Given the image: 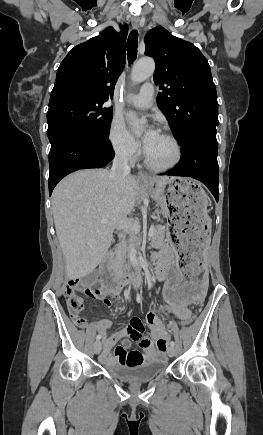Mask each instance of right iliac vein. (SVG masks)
I'll use <instances>...</instances> for the list:
<instances>
[{"label":"right iliac vein","mask_w":263,"mask_h":435,"mask_svg":"<svg viewBox=\"0 0 263 435\" xmlns=\"http://www.w3.org/2000/svg\"><path fill=\"white\" fill-rule=\"evenodd\" d=\"M101 351V342L100 341H96L94 343V353L95 354H99Z\"/></svg>","instance_id":"obj_1"}]
</instances>
